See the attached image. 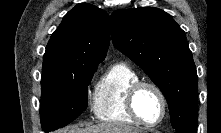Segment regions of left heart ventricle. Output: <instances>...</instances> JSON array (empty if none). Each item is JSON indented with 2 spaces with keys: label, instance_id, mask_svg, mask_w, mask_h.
I'll return each mask as SVG.
<instances>
[{
  "label": "left heart ventricle",
  "instance_id": "b2bd125f",
  "mask_svg": "<svg viewBox=\"0 0 221 133\" xmlns=\"http://www.w3.org/2000/svg\"><path fill=\"white\" fill-rule=\"evenodd\" d=\"M136 108L140 117L148 123H155L162 114L160 98L150 88H143L139 92L136 98Z\"/></svg>",
  "mask_w": 221,
  "mask_h": 133
}]
</instances>
